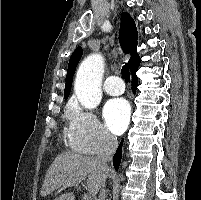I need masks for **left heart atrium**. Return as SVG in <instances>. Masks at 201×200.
<instances>
[{"label": "left heart atrium", "mask_w": 201, "mask_h": 200, "mask_svg": "<svg viewBox=\"0 0 201 200\" xmlns=\"http://www.w3.org/2000/svg\"><path fill=\"white\" fill-rule=\"evenodd\" d=\"M103 116L108 129L114 134H121L129 123L128 102L122 98L108 101L104 107Z\"/></svg>", "instance_id": "left-heart-atrium-1"}]
</instances>
